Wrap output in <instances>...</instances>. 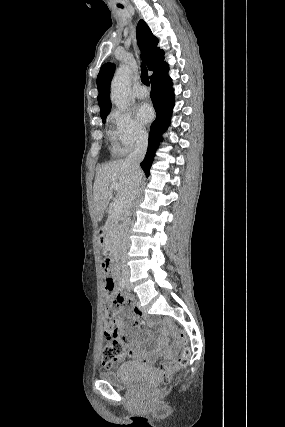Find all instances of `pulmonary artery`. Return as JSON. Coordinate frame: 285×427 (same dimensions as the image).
<instances>
[{"instance_id": "pulmonary-artery-1", "label": "pulmonary artery", "mask_w": 285, "mask_h": 427, "mask_svg": "<svg viewBox=\"0 0 285 427\" xmlns=\"http://www.w3.org/2000/svg\"><path fill=\"white\" fill-rule=\"evenodd\" d=\"M134 95L137 98L143 99V98H145L148 95V91H147V89L145 87L139 86V87L136 88Z\"/></svg>"}]
</instances>
